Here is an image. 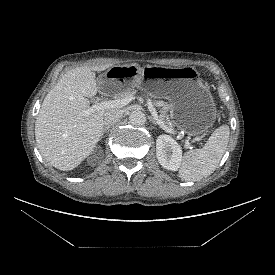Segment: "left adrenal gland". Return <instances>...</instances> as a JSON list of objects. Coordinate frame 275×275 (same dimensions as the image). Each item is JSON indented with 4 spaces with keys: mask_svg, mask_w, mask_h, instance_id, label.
<instances>
[{
    "mask_svg": "<svg viewBox=\"0 0 275 275\" xmlns=\"http://www.w3.org/2000/svg\"><path fill=\"white\" fill-rule=\"evenodd\" d=\"M149 120H150L153 124H157L156 120H155L152 116L149 117Z\"/></svg>",
    "mask_w": 275,
    "mask_h": 275,
    "instance_id": "obj_1",
    "label": "left adrenal gland"
}]
</instances>
